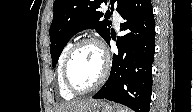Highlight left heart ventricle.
Returning a JSON list of instances; mask_svg holds the SVG:
<instances>
[{
  "mask_svg": "<svg viewBox=\"0 0 193 112\" xmlns=\"http://www.w3.org/2000/svg\"><path fill=\"white\" fill-rule=\"evenodd\" d=\"M102 66L100 50L92 44L82 46L70 62L69 76L72 84L80 90L91 87L100 76Z\"/></svg>",
  "mask_w": 193,
  "mask_h": 112,
  "instance_id": "obj_1",
  "label": "left heart ventricle"
}]
</instances>
